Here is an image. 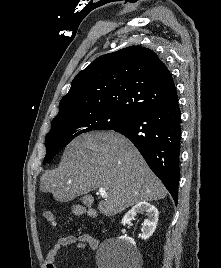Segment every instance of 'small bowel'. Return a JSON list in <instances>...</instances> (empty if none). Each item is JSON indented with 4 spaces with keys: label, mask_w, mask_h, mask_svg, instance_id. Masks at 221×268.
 I'll use <instances>...</instances> for the list:
<instances>
[{
    "label": "small bowel",
    "mask_w": 221,
    "mask_h": 268,
    "mask_svg": "<svg viewBox=\"0 0 221 268\" xmlns=\"http://www.w3.org/2000/svg\"><path fill=\"white\" fill-rule=\"evenodd\" d=\"M98 240L91 235L82 234L80 236L69 235L61 237L57 240L55 245L47 252L45 256V266L46 268H58L56 261L59 252L66 247L76 246L78 249H85L89 247L92 250L97 249Z\"/></svg>",
    "instance_id": "1"
}]
</instances>
